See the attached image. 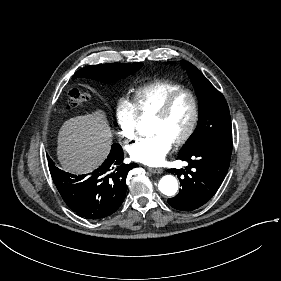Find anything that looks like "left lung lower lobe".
Masks as SVG:
<instances>
[{"label":"left lung lower lobe","mask_w":281,"mask_h":281,"mask_svg":"<svg viewBox=\"0 0 281 281\" xmlns=\"http://www.w3.org/2000/svg\"><path fill=\"white\" fill-rule=\"evenodd\" d=\"M231 155L223 154L209 147H199L179 153L178 159L187 161L185 170L171 169L177 174L182 189L168 199V203L181 211L195 210L208 202L216 193L229 168ZM184 174V178L180 176Z\"/></svg>","instance_id":"1"}]
</instances>
